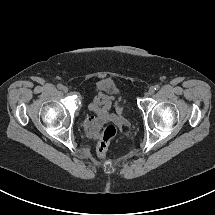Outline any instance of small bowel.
<instances>
[{
  "mask_svg": "<svg viewBox=\"0 0 215 215\" xmlns=\"http://www.w3.org/2000/svg\"><path fill=\"white\" fill-rule=\"evenodd\" d=\"M112 102L117 105L118 110L121 113L123 108L120 99L106 96L101 93L89 104V109L96 113V116L87 117L84 123V127L90 139H96L98 137L99 127L101 123L109 117L108 109Z\"/></svg>",
  "mask_w": 215,
  "mask_h": 215,
  "instance_id": "small-bowel-1",
  "label": "small bowel"
}]
</instances>
